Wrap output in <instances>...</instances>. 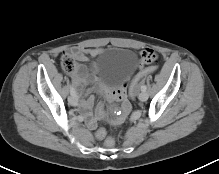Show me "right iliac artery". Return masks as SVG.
Returning <instances> with one entry per match:
<instances>
[{"mask_svg": "<svg viewBox=\"0 0 219 174\" xmlns=\"http://www.w3.org/2000/svg\"><path fill=\"white\" fill-rule=\"evenodd\" d=\"M70 94H71L72 96H75V97H76V91H75L73 85H70Z\"/></svg>", "mask_w": 219, "mask_h": 174, "instance_id": "82829eb1", "label": "right iliac artery"}]
</instances>
